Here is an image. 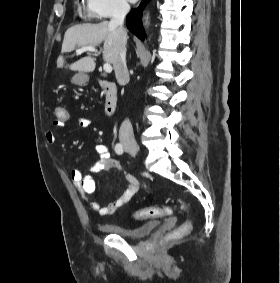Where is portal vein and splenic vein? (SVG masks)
I'll return each mask as SVG.
<instances>
[{"instance_id": "1", "label": "portal vein and splenic vein", "mask_w": 280, "mask_h": 283, "mask_svg": "<svg viewBox=\"0 0 280 283\" xmlns=\"http://www.w3.org/2000/svg\"><path fill=\"white\" fill-rule=\"evenodd\" d=\"M84 51H91V52H97V50L92 47V46H85V47H81L80 49H78V53H82ZM103 69L106 73H111L112 71V66L109 63H105L103 65Z\"/></svg>"}]
</instances>
